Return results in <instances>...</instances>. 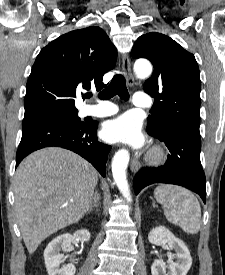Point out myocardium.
Here are the masks:
<instances>
[{
  "instance_id": "myocardium-1",
  "label": "myocardium",
  "mask_w": 225,
  "mask_h": 275,
  "mask_svg": "<svg viewBox=\"0 0 225 275\" xmlns=\"http://www.w3.org/2000/svg\"><path fill=\"white\" fill-rule=\"evenodd\" d=\"M166 155L165 151L160 146H155L148 156V162L153 165L160 164L164 161Z\"/></svg>"
}]
</instances>
